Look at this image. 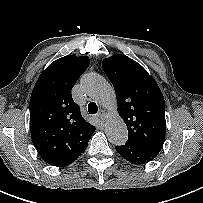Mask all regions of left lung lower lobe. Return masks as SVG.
Masks as SVG:
<instances>
[{"mask_svg": "<svg viewBox=\"0 0 203 203\" xmlns=\"http://www.w3.org/2000/svg\"><path fill=\"white\" fill-rule=\"evenodd\" d=\"M115 148L122 157L136 165L147 163L154 159L158 154L129 141L124 145L116 146Z\"/></svg>", "mask_w": 203, "mask_h": 203, "instance_id": "0a47b994", "label": "left lung lower lobe"}]
</instances>
